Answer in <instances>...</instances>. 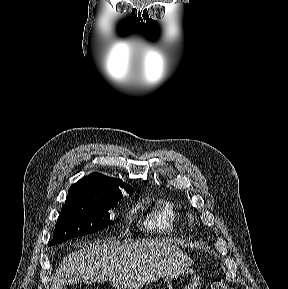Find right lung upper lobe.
I'll return each mask as SVG.
<instances>
[{"instance_id":"obj_1","label":"right lung upper lobe","mask_w":288,"mask_h":289,"mask_svg":"<svg viewBox=\"0 0 288 289\" xmlns=\"http://www.w3.org/2000/svg\"><path fill=\"white\" fill-rule=\"evenodd\" d=\"M124 188L126 192L133 191L131 186L125 184L122 180L109 178L100 173H92L89 176L81 178L69 189L68 195H87L96 196L100 193L109 191H119Z\"/></svg>"}]
</instances>
